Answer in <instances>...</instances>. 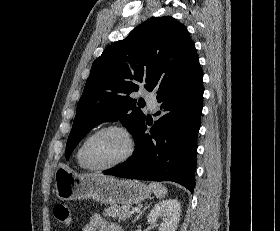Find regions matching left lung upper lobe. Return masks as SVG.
<instances>
[{"mask_svg":"<svg viewBox=\"0 0 280 231\" xmlns=\"http://www.w3.org/2000/svg\"><path fill=\"white\" fill-rule=\"evenodd\" d=\"M200 67L186 27L171 16L154 17L108 46L92 65L69 134L65 156L96 125L119 120L132 134L145 115L130 94L144 86L157 94Z\"/></svg>","mask_w":280,"mask_h":231,"instance_id":"5c2ea615","label":"left lung upper lobe"}]
</instances>
